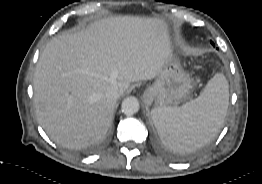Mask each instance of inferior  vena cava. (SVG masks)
I'll return each instance as SVG.
<instances>
[{
  "label": "inferior vena cava",
  "instance_id": "obj_1",
  "mask_svg": "<svg viewBox=\"0 0 262 184\" xmlns=\"http://www.w3.org/2000/svg\"><path fill=\"white\" fill-rule=\"evenodd\" d=\"M120 95L119 88L117 86H110L106 91V97L112 100H117Z\"/></svg>",
  "mask_w": 262,
  "mask_h": 184
}]
</instances>
